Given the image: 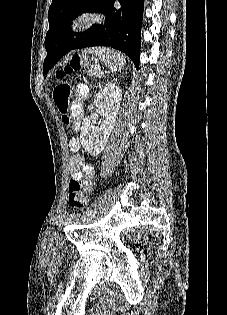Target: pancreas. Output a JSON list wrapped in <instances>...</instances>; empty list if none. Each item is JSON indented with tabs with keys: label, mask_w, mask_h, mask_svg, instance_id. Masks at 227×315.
I'll list each match as a JSON object with an SVG mask.
<instances>
[{
	"label": "pancreas",
	"mask_w": 227,
	"mask_h": 315,
	"mask_svg": "<svg viewBox=\"0 0 227 315\" xmlns=\"http://www.w3.org/2000/svg\"><path fill=\"white\" fill-rule=\"evenodd\" d=\"M96 68H97V66H93V69H91V73H92L93 75H97V74L99 73Z\"/></svg>",
	"instance_id": "1"
}]
</instances>
